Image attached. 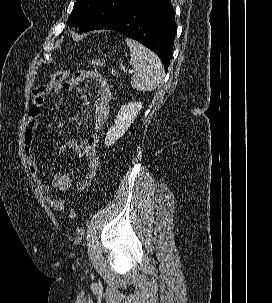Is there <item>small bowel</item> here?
Listing matches in <instances>:
<instances>
[{
    "label": "small bowel",
    "mask_w": 272,
    "mask_h": 303,
    "mask_svg": "<svg viewBox=\"0 0 272 303\" xmlns=\"http://www.w3.org/2000/svg\"><path fill=\"white\" fill-rule=\"evenodd\" d=\"M92 80L97 87V95L93 103V131L85 139H69L57 151L58 156H62L68 149L73 150L79 157L87 160V168L84 177L77 182L64 172H56L53 175L51 185L43 182L40 169L35 157L36 130L39 117L46 97L49 93V87L44 86L36 89L33 93L32 104L27 114V120L24 132V147L27 156L30 173L37 184L40 192L45 196L50 208L54 211H63L66 201L62 197H55L54 190L66 192L72 187L77 190L88 189L95 180L97 173L101 169V161L97 154V146L100 139V131L103 128L109 113L112 93L106 79L95 71H79L72 78L65 81L62 85L64 92L71 91L80 83Z\"/></svg>",
    "instance_id": "c3829d8e"
}]
</instances>
